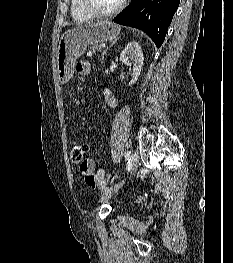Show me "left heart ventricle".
Wrapping results in <instances>:
<instances>
[{"label":"left heart ventricle","mask_w":233,"mask_h":263,"mask_svg":"<svg viewBox=\"0 0 233 263\" xmlns=\"http://www.w3.org/2000/svg\"><path fill=\"white\" fill-rule=\"evenodd\" d=\"M90 4L99 11H109L115 8L121 0H89Z\"/></svg>","instance_id":"1"}]
</instances>
